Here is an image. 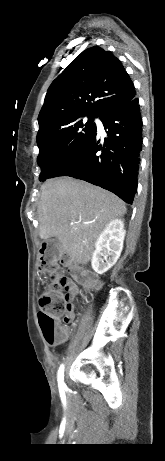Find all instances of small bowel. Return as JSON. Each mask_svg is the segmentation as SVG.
<instances>
[{
  "label": "small bowel",
  "mask_w": 165,
  "mask_h": 461,
  "mask_svg": "<svg viewBox=\"0 0 165 461\" xmlns=\"http://www.w3.org/2000/svg\"><path fill=\"white\" fill-rule=\"evenodd\" d=\"M68 268L70 271H81L83 269V264L82 263H69ZM67 277L69 276L68 274L66 275ZM79 279L82 282H87L88 280L91 281H97V277L94 274H81L79 276ZM69 283V291H64L63 292V297L62 300L64 302V306L66 309H70L69 313H62L61 315V323L62 324H71L72 320L74 318L73 315V308L75 306L74 303V295L77 294L78 292V287L76 283L68 279ZM60 332L62 334L61 339L57 342V345L65 343L71 334V329L68 326H61L60 327Z\"/></svg>",
  "instance_id": "obj_1"
}]
</instances>
